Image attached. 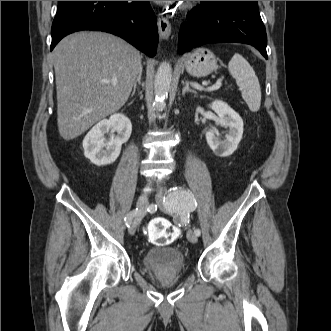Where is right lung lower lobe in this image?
Returning <instances> with one entry per match:
<instances>
[{"instance_id": "98d812e1", "label": "right lung lower lobe", "mask_w": 331, "mask_h": 331, "mask_svg": "<svg viewBox=\"0 0 331 331\" xmlns=\"http://www.w3.org/2000/svg\"><path fill=\"white\" fill-rule=\"evenodd\" d=\"M95 30L117 35L153 57L157 24L149 1H59L50 50L66 35Z\"/></svg>"}]
</instances>
